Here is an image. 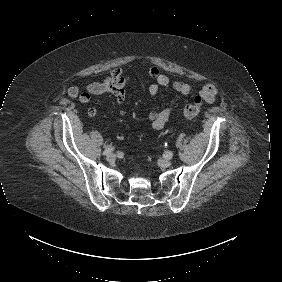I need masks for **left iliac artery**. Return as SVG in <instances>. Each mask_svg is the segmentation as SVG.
I'll return each mask as SVG.
<instances>
[{
    "instance_id": "1",
    "label": "left iliac artery",
    "mask_w": 282,
    "mask_h": 282,
    "mask_svg": "<svg viewBox=\"0 0 282 282\" xmlns=\"http://www.w3.org/2000/svg\"><path fill=\"white\" fill-rule=\"evenodd\" d=\"M172 156H173L172 152H169V151H168V152L165 153V157H167V158H169V159H171Z\"/></svg>"
}]
</instances>
